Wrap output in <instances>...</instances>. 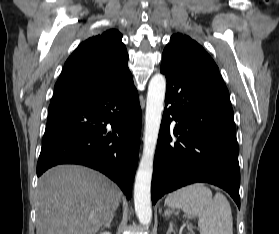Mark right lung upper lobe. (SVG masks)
<instances>
[{"instance_id": "obj_1", "label": "right lung upper lobe", "mask_w": 279, "mask_h": 234, "mask_svg": "<svg viewBox=\"0 0 279 234\" xmlns=\"http://www.w3.org/2000/svg\"><path fill=\"white\" fill-rule=\"evenodd\" d=\"M122 34L109 29L82 42L65 62L50 106L101 92L130 75Z\"/></svg>"}]
</instances>
